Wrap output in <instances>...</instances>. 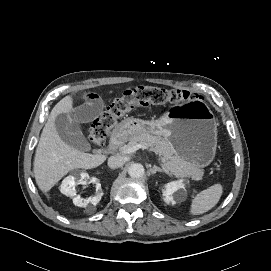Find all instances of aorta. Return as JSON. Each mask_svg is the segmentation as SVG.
I'll return each mask as SVG.
<instances>
[{
  "mask_svg": "<svg viewBox=\"0 0 271 271\" xmlns=\"http://www.w3.org/2000/svg\"><path fill=\"white\" fill-rule=\"evenodd\" d=\"M145 173V169L140 163H133L128 168V174L132 178H141Z\"/></svg>",
  "mask_w": 271,
  "mask_h": 271,
  "instance_id": "1",
  "label": "aorta"
}]
</instances>
